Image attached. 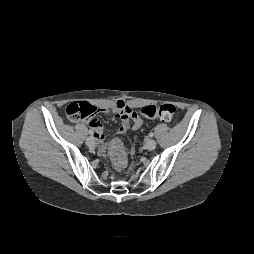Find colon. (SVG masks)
I'll list each match as a JSON object with an SVG mask.
<instances>
[{"label": "colon", "instance_id": "obj_1", "mask_svg": "<svg viewBox=\"0 0 254 254\" xmlns=\"http://www.w3.org/2000/svg\"><path fill=\"white\" fill-rule=\"evenodd\" d=\"M140 114L149 119H159L163 122L171 123L176 120V108L167 103H159L144 106L140 109ZM66 117L72 121H91L96 114V108L85 102H74L69 104L65 109ZM111 155L115 165L123 168L126 165L124 154L119 142H113L111 146Z\"/></svg>", "mask_w": 254, "mask_h": 254}]
</instances>
